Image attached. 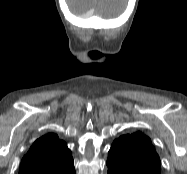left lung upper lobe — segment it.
<instances>
[{
  "label": "left lung upper lobe",
  "mask_w": 187,
  "mask_h": 174,
  "mask_svg": "<svg viewBox=\"0 0 187 174\" xmlns=\"http://www.w3.org/2000/svg\"><path fill=\"white\" fill-rule=\"evenodd\" d=\"M108 168L136 171L142 174H160V159L150 138L141 134H126L111 145Z\"/></svg>",
  "instance_id": "obj_1"
}]
</instances>
